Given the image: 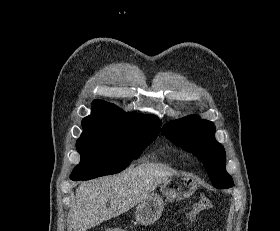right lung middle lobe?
I'll use <instances>...</instances> for the list:
<instances>
[{"instance_id":"1","label":"right lung middle lobe","mask_w":280,"mask_h":231,"mask_svg":"<svg viewBox=\"0 0 280 231\" xmlns=\"http://www.w3.org/2000/svg\"><path fill=\"white\" fill-rule=\"evenodd\" d=\"M82 126L83 133L76 142L81 161L71 177L83 180L124 170L160 132L158 128L109 118L83 120Z\"/></svg>"}]
</instances>
